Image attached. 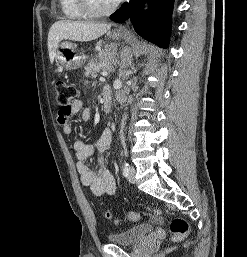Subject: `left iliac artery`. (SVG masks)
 Segmentation results:
<instances>
[{"label":"left iliac artery","instance_id":"left-iliac-artery-1","mask_svg":"<svg viewBox=\"0 0 247 257\" xmlns=\"http://www.w3.org/2000/svg\"><path fill=\"white\" fill-rule=\"evenodd\" d=\"M129 169H130L129 164H128V163H125V164H124V167H123V176L126 177V176L128 175Z\"/></svg>","mask_w":247,"mask_h":257}]
</instances>
